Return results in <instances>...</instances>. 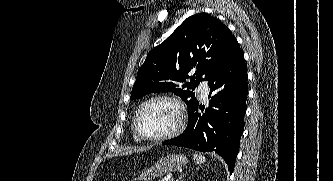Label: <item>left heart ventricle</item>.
Wrapping results in <instances>:
<instances>
[{
  "mask_svg": "<svg viewBox=\"0 0 333 181\" xmlns=\"http://www.w3.org/2000/svg\"><path fill=\"white\" fill-rule=\"evenodd\" d=\"M177 123V107L165 100H157L145 106L138 119V127L146 136L168 133Z\"/></svg>",
  "mask_w": 333,
  "mask_h": 181,
  "instance_id": "obj_1",
  "label": "left heart ventricle"
}]
</instances>
